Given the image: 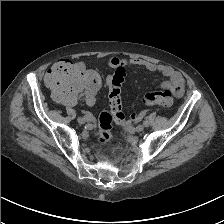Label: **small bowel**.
<instances>
[{
	"instance_id": "obj_1",
	"label": "small bowel",
	"mask_w": 224,
	"mask_h": 224,
	"mask_svg": "<svg viewBox=\"0 0 224 224\" xmlns=\"http://www.w3.org/2000/svg\"><path fill=\"white\" fill-rule=\"evenodd\" d=\"M106 63L113 69L141 66L148 71L160 73L166 78L162 83L163 89L171 91L174 98H179L184 93V79L182 75L169 66L156 64L142 58H124L117 56L108 57ZM110 80L111 78H109V81ZM131 118L135 119L136 116L132 115Z\"/></svg>"
}]
</instances>
